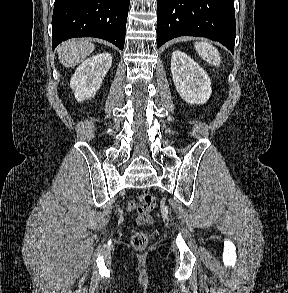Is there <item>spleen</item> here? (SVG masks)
<instances>
[{
  "label": "spleen",
  "instance_id": "obj_1",
  "mask_svg": "<svg viewBox=\"0 0 288 293\" xmlns=\"http://www.w3.org/2000/svg\"><path fill=\"white\" fill-rule=\"evenodd\" d=\"M195 49L197 53L211 65L219 66L221 58L218 50L206 41L196 42Z\"/></svg>",
  "mask_w": 288,
  "mask_h": 293
}]
</instances>
